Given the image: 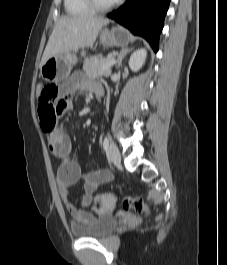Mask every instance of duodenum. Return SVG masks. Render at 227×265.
<instances>
[{
	"mask_svg": "<svg viewBox=\"0 0 227 265\" xmlns=\"http://www.w3.org/2000/svg\"><path fill=\"white\" fill-rule=\"evenodd\" d=\"M99 95H102V92H99Z\"/></svg>",
	"mask_w": 227,
	"mask_h": 265,
	"instance_id": "obj_1",
	"label": "duodenum"
}]
</instances>
